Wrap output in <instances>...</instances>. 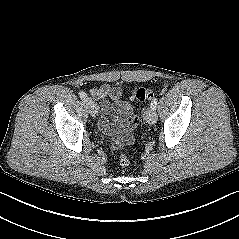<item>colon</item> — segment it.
Listing matches in <instances>:
<instances>
[{
  "label": "colon",
  "mask_w": 239,
  "mask_h": 239,
  "mask_svg": "<svg viewBox=\"0 0 239 239\" xmlns=\"http://www.w3.org/2000/svg\"><path fill=\"white\" fill-rule=\"evenodd\" d=\"M153 97V91L150 89L139 88L131 93V99L136 101H147ZM119 164L121 167H127L130 164V158L126 153H121L119 156Z\"/></svg>",
  "instance_id": "colon-1"
}]
</instances>
